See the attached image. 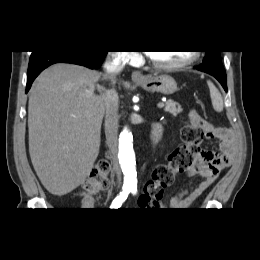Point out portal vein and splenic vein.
<instances>
[{"mask_svg":"<svg viewBox=\"0 0 260 260\" xmlns=\"http://www.w3.org/2000/svg\"><path fill=\"white\" fill-rule=\"evenodd\" d=\"M157 106H158L159 108H163L165 105H164V103L160 102V103H158Z\"/></svg>","mask_w":260,"mask_h":260,"instance_id":"18ae733b","label":"portal vein and splenic vein"}]
</instances>
